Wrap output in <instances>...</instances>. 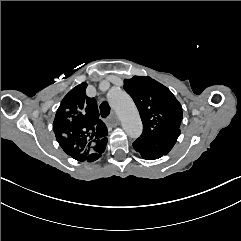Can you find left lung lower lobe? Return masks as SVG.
Segmentation results:
<instances>
[{
  "label": "left lung lower lobe",
  "mask_w": 241,
  "mask_h": 241,
  "mask_svg": "<svg viewBox=\"0 0 241 241\" xmlns=\"http://www.w3.org/2000/svg\"><path fill=\"white\" fill-rule=\"evenodd\" d=\"M180 132L170 133L163 136L161 143L155 147L145 146L137 141L133 143L134 149L141 154L144 159L154 160L166 155L174 146Z\"/></svg>",
  "instance_id": "0a47b994"
}]
</instances>
